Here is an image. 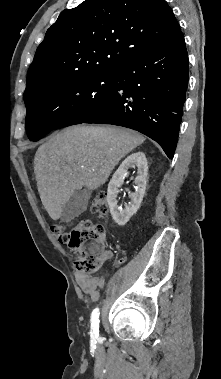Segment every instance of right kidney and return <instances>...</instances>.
Wrapping results in <instances>:
<instances>
[{
  "mask_svg": "<svg viewBox=\"0 0 221 379\" xmlns=\"http://www.w3.org/2000/svg\"><path fill=\"white\" fill-rule=\"evenodd\" d=\"M135 166L138 170V174L134 180V183L137 185L136 191L129 195L130 202L124 209H122L117 204L119 193L118 188L122 185L124 178L128 175V169ZM147 175L148 164L145 154L143 152H135L129 155L120 164L119 168L112 176V179L108 184L107 201L112 218L119 226L125 225L140 208L146 190Z\"/></svg>",
  "mask_w": 221,
  "mask_h": 379,
  "instance_id": "obj_1",
  "label": "right kidney"
}]
</instances>
